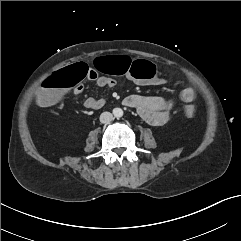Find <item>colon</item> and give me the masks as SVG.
Listing matches in <instances>:
<instances>
[{
    "mask_svg": "<svg viewBox=\"0 0 241 241\" xmlns=\"http://www.w3.org/2000/svg\"><path fill=\"white\" fill-rule=\"evenodd\" d=\"M93 67L100 74L109 72L117 75H130L137 79H151L156 74V67L149 60L138 58L133 61L127 56L100 55L95 58ZM89 73L90 66L86 62H76L58 69L53 75L45 74L41 78L43 88L37 96L38 103L42 106L54 105L64 91L75 87L80 81L86 79ZM184 114L187 117L195 116V106L186 105Z\"/></svg>",
    "mask_w": 241,
    "mask_h": 241,
    "instance_id": "obj_1",
    "label": "colon"
}]
</instances>
